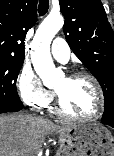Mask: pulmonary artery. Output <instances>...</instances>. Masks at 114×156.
Segmentation results:
<instances>
[{"mask_svg":"<svg viewBox=\"0 0 114 156\" xmlns=\"http://www.w3.org/2000/svg\"><path fill=\"white\" fill-rule=\"evenodd\" d=\"M52 56L59 62L65 63L70 57V48L62 38H56L51 46Z\"/></svg>","mask_w":114,"mask_h":156,"instance_id":"pulmonary-artery-1","label":"pulmonary artery"}]
</instances>
